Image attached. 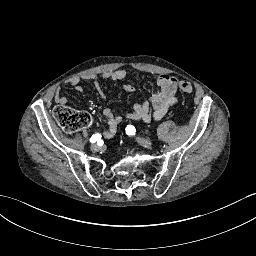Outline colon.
Returning a JSON list of instances; mask_svg holds the SVG:
<instances>
[{"label": "colon", "instance_id": "5ec220e1", "mask_svg": "<svg viewBox=\"0 0 256 256\" xmlns=\"http://www.w3.org/2000/svg\"><path fill=\"white\" fill-rule=\"evenodd\" d=\"M182 92L192 93V87L188 82H179ZM54 118L63 131L73 134L77 130L86 128L91 124V117L83 111H76L66 106H58L54 111Z\"/></svg>", "mask_w": 256, "mask_h": 256}]
</instances>
